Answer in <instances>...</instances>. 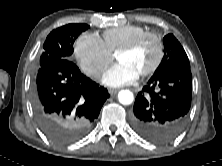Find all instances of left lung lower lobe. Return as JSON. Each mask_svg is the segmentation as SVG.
<instances>
[{
	"label": "left lung lower lobe",
	"instance_id": "1",
	"mask_svg": "<svg viewBox=\"0 0 222 166\" xmlns=\"http://www.w3.org/2000/svg\"><path fill=\"white\" fill-rule=\"evenodd\" d=\"M192 98L190 69L153 75L136 97L132 126L155 144L174 140L184 129Z\"/></svg>",
	"mask_w": 222,
	"mask_h": 166
}]
</instances>
